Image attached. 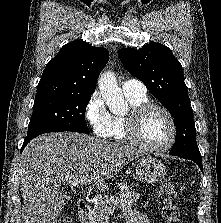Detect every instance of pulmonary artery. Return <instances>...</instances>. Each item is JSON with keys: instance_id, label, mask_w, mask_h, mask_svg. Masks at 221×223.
<instances>
[{"instance_id": "pulmonary-artery-1", "label": "pulmonary artery", "mask_w": 221, "mask_h": 223, "mask_svg": "<svg viewBox=\"0 0 221 223\" xmlns=\"http://www.w3.org/2000/svg\"><path fill=\"white\" fill-rule=\"evenodd\" d=\"M122 91L125 95L143 96L147 89L144 83L135 78H128L122 83Z\"/></svg>"}]
</instances>
